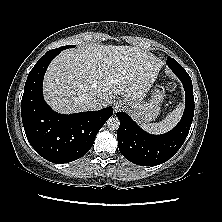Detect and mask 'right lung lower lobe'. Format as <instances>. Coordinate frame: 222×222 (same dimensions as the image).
Listing matches in <instances>:
<instances>
[{
	"mask_svg": "<svg viewBox=\"0 0 222 222\" xmlns=\"http://www.w3.org/2000/svg\"><path fill=\"white\" fill-rule=\"evenodd\" d=\"M59 51H48L30 71L24 88L21 114L27 139L35 151L53 163L81 158L92 147L100 128L113 114L112 106L99 111L62 115L45 103L42 82Z\"/></svg>",
	"mask_w": 222,
	"mask_h": 222,
	"instance_id": "obj_1",
	"label": "right lung lower lobe"
}]
</instances>
